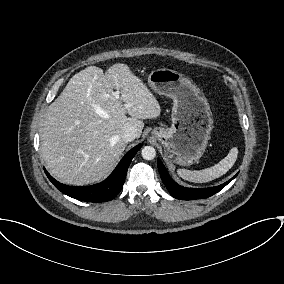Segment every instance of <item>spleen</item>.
Masks as SVG:
<instances>
[{
	"mask_svg": "<svg viewBox=\"0 0 284 284\" xmlns=\"http://www.w3.org/2000/svg\"><path fill=\"white\" fill-rule=\"evenodd\" d=\"M237 156L238 149L236 147H233L224 159L210 168H206L200 171L178 169L177 173L181 178L190 182H209L224 175L229 169H231L236 162Z\"/></svg>",
	"mask_w": 284,
	"mask_h": 284,
	"instance_id": "3e777b00",
	"label": "spleen"
}]
</instances>
